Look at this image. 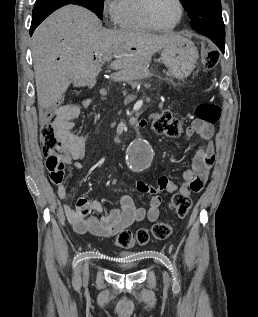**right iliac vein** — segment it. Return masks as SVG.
Segmentation results:
<instances>
[{"mask_svg": "<svg viewBox=\"0 0 258 317\" xmlns=\"http://www.w3.org/2000/svg\"><path fill=\"white\" fill-rule=\"evenodd\" d=\"M86 262L88 263L89 261L87 260ZM87 263L83 264V276H88V271L90 268Z\"/></svg>", "mask_w": 258, "mask_h": 317, "instance_id": "63e3f726", "label": "right iliac vein"}]
</instances>
